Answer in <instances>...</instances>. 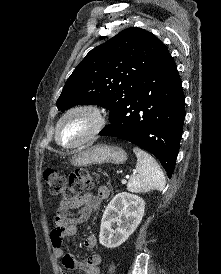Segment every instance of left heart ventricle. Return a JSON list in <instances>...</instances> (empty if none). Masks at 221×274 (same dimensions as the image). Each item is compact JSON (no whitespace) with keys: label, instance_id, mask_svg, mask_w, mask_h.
<instances>
[{"label":"left heart ventricle","instance_id":"1","mask_svg":"<svg viewBox=\"0 0 221 274\" xmlns=\"http://www.w3.org/2000/svg\"><path fill=\"white\" fill-rule=\"evenodd\" d=\"M90 119L82 114L73 115L61 126L60 139L64 143H74L82 138L90 129Z\"/></svg>","mask_w":221,"mask_h":274}]
</instances>
